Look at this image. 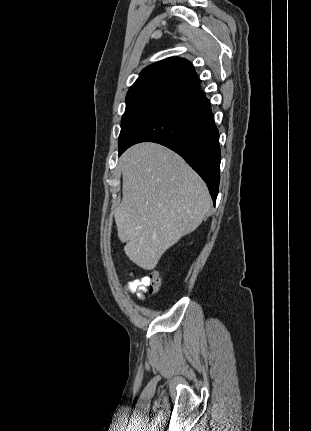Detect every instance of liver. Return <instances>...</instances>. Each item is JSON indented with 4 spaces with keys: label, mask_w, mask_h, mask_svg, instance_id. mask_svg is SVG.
<instances>
[{
    "label": "liver",
    "mask_w": 311,
    "mask_h": 431,
    "mask_svg": "<svg viewBox=\"0 0 311 431\" xmlns=\"http://www.w3.org/2000/svg\"><path fill=\"white\" fill-rule=\"evenodd\" d=\"M123 198L117 235L136 265L154 269L161 255L202 223L212 204L206 184L159 144H136L120 158Z\"/></svg>",
    "instance_id": "6515ba94"
}]
</instances>
